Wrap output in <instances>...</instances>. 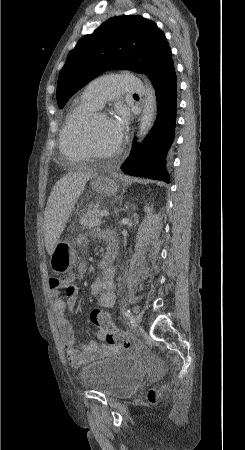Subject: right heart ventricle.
Returning a JSON list of instances; mask_svg holds the SVG:
<instances>
[{"mask_svg":"<svg viewBox=\"0 0 245 450\" xmlns=\"http://www.w3.org/2000/svg\"><path fill=\"white\" fill-rule=\"evenodd\" d=\"M97 107L83 93L74 100L60 132L59 146L64 156L75 161L89 159L85 131L89 114Z\"/></svg>","mask_w":245,"mask_h":450,"instance_id":"1","label":"right heart ventricle"}]
</instances>
